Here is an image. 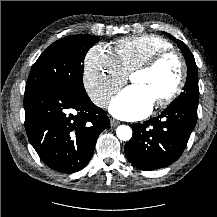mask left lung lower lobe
Listing matches in <instances>:
<instances>
[{
    "instance_id": "left-lung-lower-lobe-1",
    "label": "left lung lower lobe",
    "mask_w": 217,
    "mask_h": 217,
    "mask_svg": "<svg viewBox=\"0 0 217 217\" xmlns=\"http://www.w3.org/2000/svg\"><path fill=\"white\" fill-rule=\"evenodd\" d=\"M197 107L198 104L179 102L151 120L133 124V136L125 146L128 161L147 171L175 162L195 127Z\"/></svg>"
}]
</instances>
